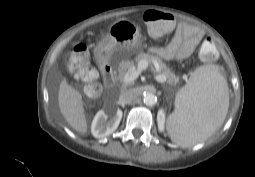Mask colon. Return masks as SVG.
<instances>
[{
	"label": "colon",
	"mask_w": 255,
	"mask_h": 177,
	"mask_svg": "<svg viewBox=\"0 0 255 177\" xmlns=\"http://www.w3.org/2000/svg\"><path fill=\"white\" fill-rule=\"evenodd\" d=\"M144 21L148 31L153 37H160L167 33L175 24L174 17L166 12L149 10L144 14ZM200 57L206 61H212L217 57V48L212 38L207 37L199 49ZM66 67L76 77L86 82V93L95 96L98 93L96 83L97 71L90 64L89 53L86 46L78 45L74 48L66 62Z\"/></svg>",
	"instance_id": "colon-1"
}]
</instances>
